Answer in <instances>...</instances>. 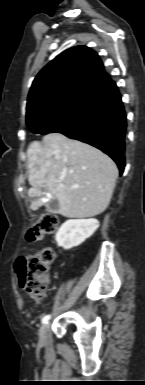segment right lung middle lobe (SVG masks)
I'll return each instance as SVG.
<instances>
[{"instance_id": "1", "label": "right lung middle lobe", "mask_w": 145, "mask_h": 385, "mask_svg": "<svg viewBox=\"0 0 145 385\" xmlns=\"http://www.w3.org/2000/svg\"><path fill=\"white\" fill-rule=\"evenodd\" d=\"M98 92L87 89H73L59 94L34 107L27 113V126L39 134L54 132L81 112Z\"/></svg>"}]
</instances>
